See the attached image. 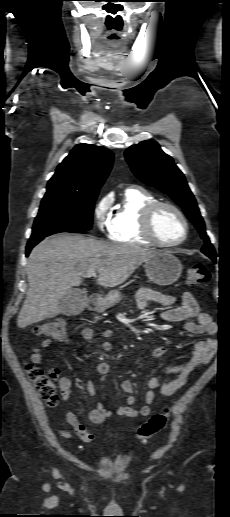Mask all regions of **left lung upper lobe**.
Wrapping results in <instances>:
<instances>
[{"label": "left lung upper lobe", "instance_id": "5c2ea615", "mask_svg": "<svg viewBox=\"0 0 230 517\" xmlns=\"http://www.w3.org/2000/svg\"><path fill=\"white\" fill-rule=\"evenodd\" d=\"M125 157L135 176L145 184L168 194L198 229L205 241L202 252L216 261V253L206 235L204 221L196 200L190 191L183 173L173 159L165 154L154 140H146L130 146Z\"/></svg>", "mask_w": 230, "mask_h": 517}]
</instances>
